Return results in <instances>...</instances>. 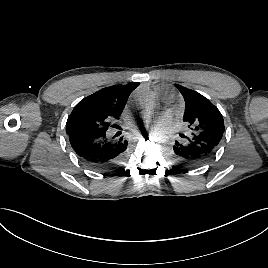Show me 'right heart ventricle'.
Segmentation results:
<instances>
[{"label": "right heart ventricle", "mask_w": 268, "mask_h": 268, "mask_svg": "<svg viewBox=\"0 0 268 268\" xmlns=\"http://www.w3.org/2000/svg\"><path fill=\"white\" fill-rule=\"evenodd\" d=\"M158 93H159L160 95H162L163 97L166 95V94H165V91H164L162 88H159V89H158Z\"/></svg>", "instance_id": "obj_1"}]
</instances>
